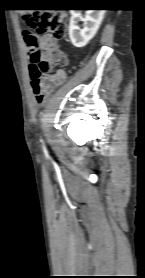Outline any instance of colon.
Masks as SVG:
<instances>
[{
    "instance_id": "colon-1",
    "label": "colon",
    "mask_w": 145,
    "mask_h": 278,
    "mask_svg": "<svg viewBox=\"0 0 145 278\" xmlns=\"http://www.w3.org/2000/svg\"><path fill=\"white\" fill-rule=\"evenodd\" d=\"M23 22L27 27L22 32V36L30 62V78L33 82L35 102L39 105L45 97L39 81L49 68L60 65L66 60V57L53 43L41 44L37 35L50 34L58 38L65 37L68 31L67 19L63 14L45 13L42 15H24ZM48 83L52 85L58 83V81L54 79Z\"/></svg>"
}]
</instances>
